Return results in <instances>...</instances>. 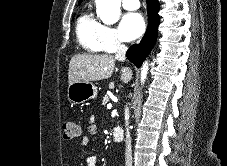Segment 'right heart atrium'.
Here are the masks:
<instances>
[{
	"mask_svg": "<svg viewBox=\"0 0 227 166\" xmlns=\"http://www.w3.org/2000/svg\"><path fill=\"white\" fill-rule=\"evenodd\" d=\"M102 39L104 51L106 52H111L112 50L121 47L123 44L117 30L110 26L104 27Z\"/></svg>",
	"mask_w": 227,
	"mask_h": 166,
	"instance_id": "obj_1",
	"label": "right heart atrium"
}]
</instances>
